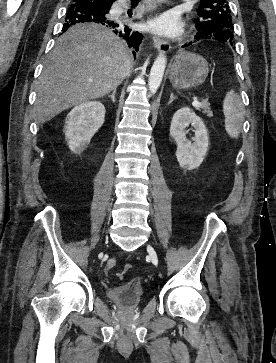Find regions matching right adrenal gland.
Segmentation results:
<instances>
[{"label": "right adrenal gland", "instance_id": "obj_1", "mask_svg": "<svg viewBox=\"0 0 276 363\" xmlns=\"http://www.w3.org/2000/svg\"><path fill=\"white\" fill-rule=\"evenodd\" d=\"M115 94H116V89L112 91L111 95H109V97L112 99L113 102H115Z\"/></svg>", "mask_w": 276, "mask_h": 363}]
</instances>
